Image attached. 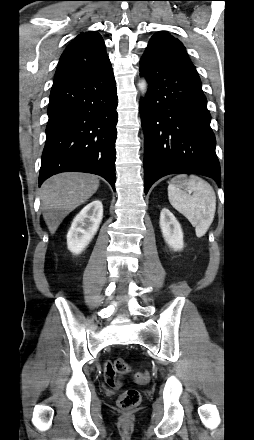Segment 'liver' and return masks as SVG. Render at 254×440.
I'll use <instances>...</instances> for the list:
<instances>
[{
	"label": "liver",
	"instance_id": "1",
	"mask_svg": "<svg viewBox=\"0 0 254 440\" xmlns=\"http://www.w3.org/2000/svg\"><path fill=\"white\" fill-rule=\"evenodd\" d=\"M95 175L65 172L47 179L40 190L44 220L54 234L62 220L78 206L86 202L98 189Z\"/></svg>",
	"mask_w": 254,
	"mask_h": 440
}]
</instances>
